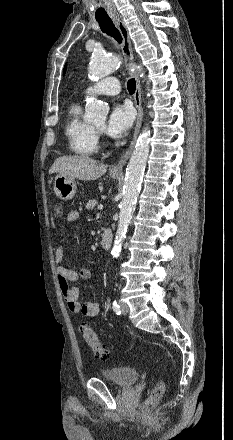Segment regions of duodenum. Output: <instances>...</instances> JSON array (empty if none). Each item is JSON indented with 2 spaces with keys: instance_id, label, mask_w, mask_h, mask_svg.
Segmentation results:
<instances>
[{
  "instance_id": "obj_1",
  "label": "duodenum",
  "mask_w": 233,
  "mask_h": 440,
  "mask_svg": "<svg viewBox=\"0 0 233 440\" xmlns=\"http://www.w3.org/2000/svg\"><path fill=\"white\" fill-rule=\"evenodd\" d=\"M113 240V233L111 229L105 228L101 234V244L104 249H108Z\"/></svg>"
}]
</instances>
